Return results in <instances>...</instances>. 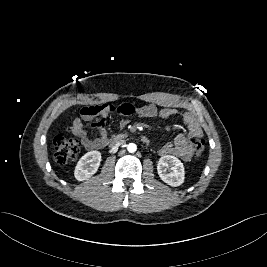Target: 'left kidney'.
Listing matches in <instances>:
<instances>
[{"mask_svg": "<svg viewBox=\"0 0 267 267\" xmlns=\"http://www.w3.org/2000/svg\"><path fill=\"white\" fill-rule=\"evenodd\" d=\"M169 167L170 171L168 172L167 168ZM157 171L161 180L170 186H180L184 182L185 170L183 163L175 156H162L159 159Z\"/></svg>", "mask_w": 267, "mask_h": 267, "instance_id": "1", "label": "left kidney"}]
</instances>
